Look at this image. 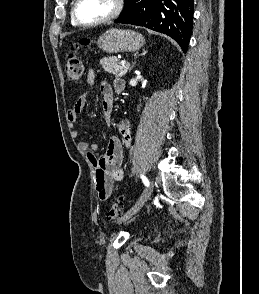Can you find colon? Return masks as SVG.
<instances>
[{"label": "colon", "instance_id": "obj_1", "mask_svg": "<svg viewBox=\"0 0 259 294\" xmlns=\"http://www.w3.org/2000/svg\"><path fill=\"white\" fill-rule=\"evenodd\" d=\"M87 45H89V40L82 39L77 45L71 48V51L69 52L67 56V61L65 65V74H66V78L69 81L79 82L83 79L84 66L82 61L77 56L76 51L80 46H87ZM122 207H123V198L117 197L108 209L107 219L110 221L116 220L122 211Z\"/></svg>", "mask_w": 259, "mask_h": 294}]
</instances>
